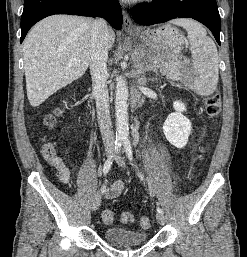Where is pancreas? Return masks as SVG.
Listing matches in <instances>:
<instances>
[{"instance_id": "pancreas-1", "label": "pancreas", "mask_w": 247, "mask_h": 257, "mask_svg": "<svg viewBox=\"0 0 247 257\" xmlns=\"http://www.w3.org/2000/svg\"><path fill=\"white\" fill-rule=\"evenodd\" d=\"M159 69H160V73L166 76L171 75L175 71L174 67H171V66H160Z\"/></svg>"}]
</instances>
